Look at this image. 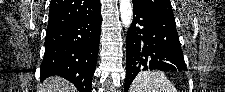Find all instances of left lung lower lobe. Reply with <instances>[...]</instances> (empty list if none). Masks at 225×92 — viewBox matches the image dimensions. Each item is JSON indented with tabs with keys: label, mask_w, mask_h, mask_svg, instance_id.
I'll return each mask as SVG.
<instances>
[{
	"label": "left lung lower lobe",
	"mask_w": 225,
	"mask_h": 92,
	"mask_svg": "<svg viewBox=\"0 0 225 92\" xmlns=\"http://www.w3.org/2000/svg\"><path fill=\"white\" fill-rule=\"evenodd\" d=\"M133 10V22L126 38L125 92L141 71L187 69L175 19L134 6Z\"/></svg>",
	"instance_id": "obj_1"
}]
</instances>
